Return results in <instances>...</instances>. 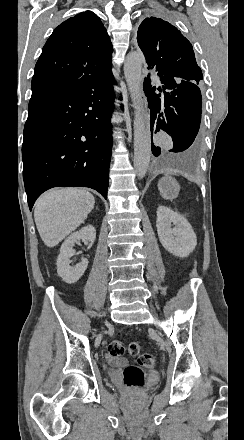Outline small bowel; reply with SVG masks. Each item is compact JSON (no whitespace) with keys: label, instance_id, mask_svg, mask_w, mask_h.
Wrapping results in <instances>:
<instances>
[{"label":"small bowel","instance_id":"obj_1","mask_svg":"<svg viewBox=\"0 0 244 440\" xmlns=\"http://www.w3.org/2000/svg\"><path fill=\"white\" fill-rule=\"evenodd\" d=\"M110 361L116 366V367H122L126 365V361L124 359L115 358L113 356L108 357Z\"/></svg>","mask_w":244,"mask_h":440}]
</instances>
